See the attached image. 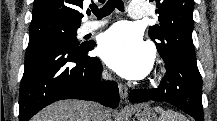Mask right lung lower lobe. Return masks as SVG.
Listing matches in <instances>:
<instances>
[{"label": "right lung lower lobe", "mask_w": 217, "mask_h": 121, "mask_svg": "<svg viewBox=\"0 0 217 121\" xmlns=\"http://www.w3.org/2000/svg\"><path fill=\"white\" fill-rule=\"evenodd\" d=\"M95 42L73 44L46 41L29 45L20 83L19 121H28L42 108L62 99L99 101L107 107L119 104L115 82L98 85L102 65L87 55Z\"/></svg>", "instance_id": "98d812e1"}]
</instances>
